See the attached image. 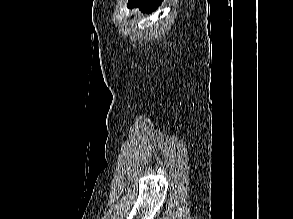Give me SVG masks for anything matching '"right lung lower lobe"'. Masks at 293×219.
I'll list each match as a JSON object with an SVG mask.
<instances>
[{
    "instance_id": "98d812e1",
    "label": "right lung lower lobe",
    "mask_w": 293,
    "mask_h": 219,
    "mask_svg": "<svg viewBox=\"0 0 293 219\" xmlns=\"http://www.w3.org/2000/svg\"><path fill=\"white\" fill-rule=\"evenodd\" d=\"M162 0H129V7H139L141 11H146L148 13L156 10V8L161 4Z\"/></svg>"
}]
</instances>
